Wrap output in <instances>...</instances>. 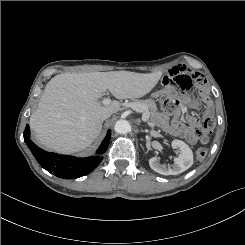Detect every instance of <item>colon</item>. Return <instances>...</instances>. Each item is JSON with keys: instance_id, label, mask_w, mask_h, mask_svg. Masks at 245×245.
I'll return each instance as SVG.
<instances>
[{"instance_id": "obj_1", "label": "colon", "mask_w": 245, "mask_h": 245, "mask_svg": "<svg viewBox=\"0 0 245 245\" xmlns=\"http://www.w3.org/2000/svg\"><path fill=\"white\" fill-rule=\"evenodd\" d=\"M160 106L166 112L174 111L178 106V100L175 96L170 94H163L160 97ZM215 121L208 117L204 119L202 125L197 129L196 135L202 144H206L209 140V136L214 130ZM207 156V150L204 147H200L196 151V159L198 162H202Z\"/></svg>"}]
</instances>
